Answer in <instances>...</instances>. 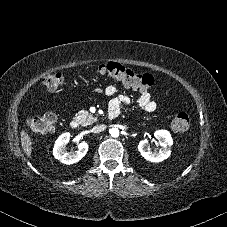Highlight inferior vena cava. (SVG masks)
<instances>
[{"mask_svg": "<svg viewBox=\"0 0 227 227\" xmlns=\"http://www.w3.org/2000/svg\"><path fill=\"white\" fill-rule=\"evenodd\" d=\"M106 129V126L105 125H96L93 127L92 131L94 133H99V132H102Z\"/></svg>", "mask_w": 227, "mask_h": 227, "instance_id": "obj_1", "label": "inferior vena cava"}]
</instances>
